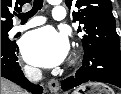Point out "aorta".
I'll list each match as a JSON object with an SVG mask.
<instances>
[{"label":"aorta","mask_w":121,"mask_h":94,"mask_svg":"<svg viewBox=\"0 0 121 94\" xmlns=\"http://www.w3.org/2000/svg\"><path fill=\"white\" fill-rule=\"evenodd\" d=\"M49 3L59 4L61 0H48Z\"/></svg>","instance_id":"obj_1"}]
</instances>
